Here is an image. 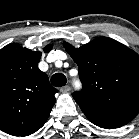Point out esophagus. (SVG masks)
Listing matches in <instances>:
<instances>
[{
	"label": "esophagus",
	"mask_w": 139,
	"mask_h": 139,
	"mask_svg": "<svg viewBox=\"0 0 139 139\" xmlns=\"http://www.w3.org/2000/svg\"><path fill=\"white\" fill-rule=\"evenodd\" d=\"M69 91H70V87L68 85H65L60 88V92H62V93H67Z\"/></svg>",
	"instance_id": "obj_1"
}]
</instances>
